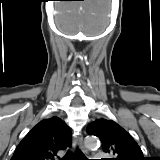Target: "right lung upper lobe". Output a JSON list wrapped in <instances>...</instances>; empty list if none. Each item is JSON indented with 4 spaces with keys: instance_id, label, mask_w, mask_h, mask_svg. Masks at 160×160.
Listing matches in <instances>:
<instances>
[{
    "instance_id": "cb5924a9",
    "label": "right lung upper lobe",
    "mask_w": 160,
    "mask_h": 160,
    "mask_svg": "<svg viewBox=\"0 0 160 160\" xmlns=\"http://www.w3.org/2000/svg\"><path fill=\"white\" fill-rule=\"evenodd\" d=\"M72 145L71 130L58 117L42 120L16 147L11 160H54Z\"/></svg>"
}]
</instances>
